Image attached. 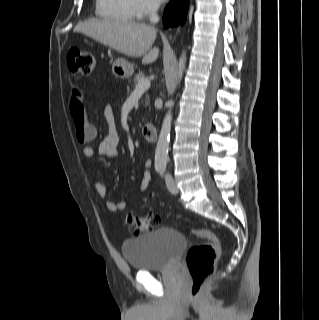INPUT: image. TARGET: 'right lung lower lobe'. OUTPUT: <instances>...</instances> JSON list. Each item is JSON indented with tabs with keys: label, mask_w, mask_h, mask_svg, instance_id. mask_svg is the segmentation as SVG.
Segmentation results:
<instances>
[{
	"label": "right lung lower lobe",
	"mask_w": 319,
	"mask_h": 320,
	"mask_svg": "<svg viewBox=\"0 0 319 320\" xmlns=\"http://www.w3.org/2000/svg\"><path fill=\"white\" fill-rule=\"evenodd\" d=\"M189 7V0H171L166 6L163 15V25L165 28L169 26H177L184 24Z\"/></svg>",
	"instance_id": "obj_1"
}]
</instances>
